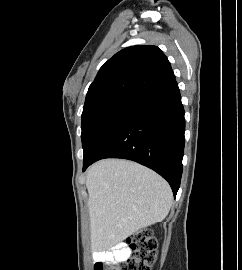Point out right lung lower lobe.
Segmentation results:
<instances>
[{
	"label": "right lung lower lobe",
	"instance_id": "98d812e1",
	"mask_svg": "<svg viewBox=\"0 0 242 270\" xmlns=\"http://www.w3.org/2000/svg\"><path fill=\"white\" fill-rule=\"evenodd\" d=\"M185 119L178 84L137 103L83 171L103 158H124L145 165L170 184L174 196L180 186Z\"/></svg>",
	"mask_w": 242,
	"mask_h": 270
}]
</instances>
